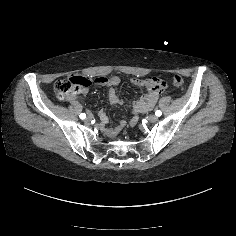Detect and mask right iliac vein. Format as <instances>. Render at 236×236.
I'll return each instance as SVG.
<instances>
[{"instance_id":"63e3f726","label":"right iliac vein","mask_w":236,"mask_h":236,"mask_svg":"<svg viewBox=\"0 0 236 236\" xmlns=\"http://www.w3.org/2000/svg\"><path fill=\"white\" fill-rule=\"evenodd\" d=\"M93 116L92 114H88V116L86 117L85 121L86 122H90L92 120Z\"/></svg>"}]
</instances>
